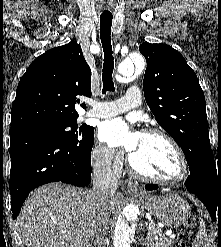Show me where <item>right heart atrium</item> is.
<instances>
[{
	"instance_id": "d8ad5b80",
	"label": "right heart atrium",
	"mask_w": 221,
	"mask_h": 247,
	"mask_svg": "<svg viewBox=\"0 0 221 247\" xmlns=\"http://www.w3.org/2000/svg\"><path fill=\"white\" fill-rule=\"evenodd\" d=\"M91 157L95 168L101 171L119 174L123 169L124 157L122 153L116 152L107 146L96 145L92 150Z\"/></svg>"
}]
</instances>
